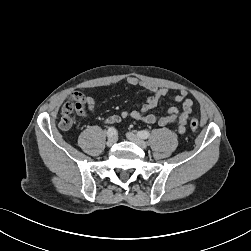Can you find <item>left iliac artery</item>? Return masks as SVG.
<instances>
[{
  "mask_svg": "<svg viewBox=\"0 0 251 251\" xmlns=\"http://www.w3.org/2000/svg\"><path fill=\"white\" fill-rule=\"evenodd\" d=\"M137 135L142 139H147L150 136V132L147 130L138 131Z\"/></svg>",
  "mask_w": 251,
  "mask_h": 251,
  "instance_id": "left-iliac-artery-1",
  "label": "left iliac artery"
}]
</instances>
